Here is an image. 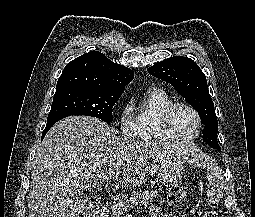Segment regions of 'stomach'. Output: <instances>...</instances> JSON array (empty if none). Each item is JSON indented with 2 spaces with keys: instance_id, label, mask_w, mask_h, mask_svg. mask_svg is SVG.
Here are the masks:
<instances>
[{
  "instance_id": "0dacf381",
  "label": "stomach",
  "mask_w": 255,
  "mask_h": 217,
  "mask_svg": "<svg viewBox=\"0 0 255 217\" xmlns=\"http://www.w3.org/2000/svg\"><path fill=\"white\" fill-rule=\"evenodd\" d=\"M185 159L180 156H170L159 167L158 177L164 183H172L181 177L183 162ZM200 162V161H199Z\"/></svg>"
}]
</instances>
